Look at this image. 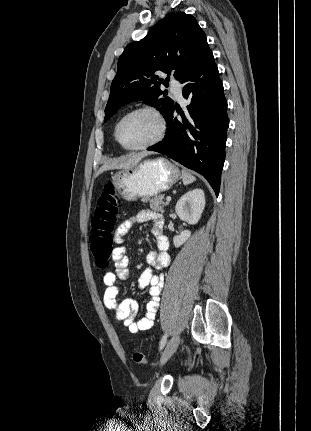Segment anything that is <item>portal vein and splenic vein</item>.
<instances>
[{
    "label": "portal vein and splenic vein",
    "mask_w": 311,
    "mask_h": 431,
    "mask_svg": "<svg viewBox=\"0 0 311 431\" xmlns=\"http://www.w3.org/2000/svg\"><path fill=\"white\" fill-rule=\"evenodd\" d=\"M166 202H171V198H170V196H167V198H166Z\"/></svg>",
    "instance_id": "obj_1"
}]
</instances>
